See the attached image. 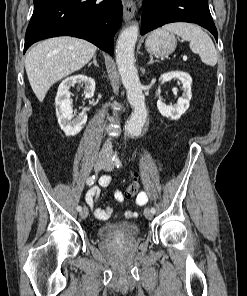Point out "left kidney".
<instances>
[{
	"label": "left kidney",
	"mask_w": 247,
	"mask_h": 296,
	"mask_svg": "<svg viewBox=\"0 0 247 296\" xmlns=\"http://www.w3.org/2000/svg\"><path fill=\"white\" fill-rule=\"evenodd\" d=\"M172 79H178L181 81L183 85L182 97L178 99V102L175 105H166L161 99H159L157 101V108L162 116L177 120L189 108V102L192 98V78L185 72H168L160 77L162 83L171 81Z\"/></svg>",
	"instance_id": "1"
}]
</instances>
